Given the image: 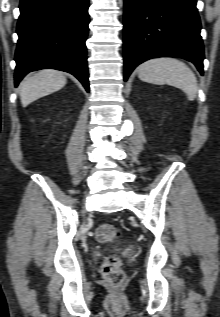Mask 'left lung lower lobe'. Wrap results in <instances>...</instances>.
<instances>
[{
	"label": "left lung lower lobe",
	"mask_w": 220,
	"mask_h": 317,
	"mask_svg": "<svg viewBox=\"0 0 220 317\" xmlns=\"http://www.w3.org/2000/svg\"><path fill=\"white\" fill-rule=\"evenodd\" d=\"M197 0H124V80L140 63L177 56L203 74Z\"/></svg>",
	"instance_id": "obj_1"
}]
</instances>
